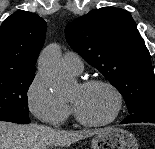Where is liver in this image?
Returning <instances> with one entry per match:
<instances>
[{"label": "liver", "mask_w": 155, "mask_h": 149, "mask_svg": "<svg viewBox=\"0 0 155 149\" xmlns=\"http://www.w3.org/2000/svg\"><path fill=\"white\" fill-rule=\"evenodd\" d=\"M108 128L65 131L38 124L17 125L0 121V149H48L66 147L103 133Z\"/></svg>", "instance_id": "obj_1"}]
</instances>
